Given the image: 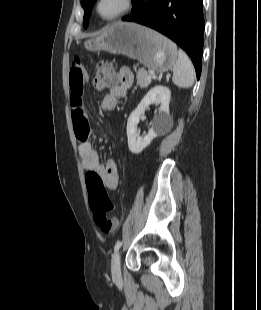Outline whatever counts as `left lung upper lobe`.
<instances>
[{"label": "left lung upper lobe", "instance_id": "left-lung-upper-lobe-1", "mask_svg": "<svg viewBox=\"0 0 261 310\" xmlns=\"http://www.w3.org/2000/svg\"><path fill=\"white\" fill-rule=\"evenodd\" d=\"M96 0H81V5L84 8V27L86 28L89 23V17L92 12L93 5ZM137 0H133V5Z\"/></svg>", "mask_w": 261, "mask_h": 310}]
</instances>
